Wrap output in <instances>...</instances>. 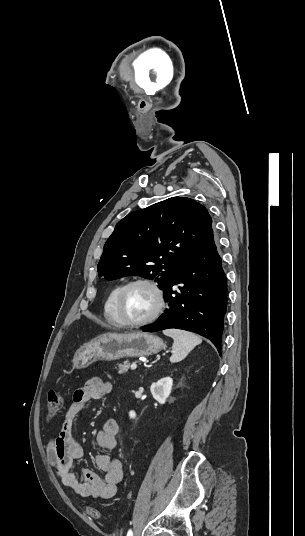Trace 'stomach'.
<instances>
[{"label": "stomach", "mask_w": 305, "mask_h": 536, "mask_svg": "<svg viewBox=\"0 0 305 536\" xmlns=\"http://www.w3.org/2000/svg\"><path fill=\"white\" fill-rule=\"evenodd\" d=\"M165 344L158 336L147 332L132 334H102L75 352L73 368H88L98 360H120V358H141L158 354Z\"/></svg>", "instance_id": "obj_1"}]
</instances>
